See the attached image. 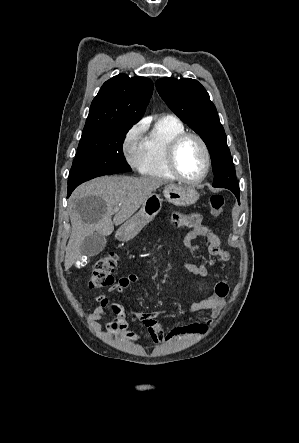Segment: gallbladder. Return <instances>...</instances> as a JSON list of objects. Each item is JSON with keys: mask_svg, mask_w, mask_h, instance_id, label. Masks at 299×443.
<instances>
[{"mask_svg": "<svg viewBox=\"0 0 299 443\" xmlns=\"http://www.w3.org/2000/svg\"><path fill=\"white\" fill-rule=\"evenodd\" d=\"M107 243L106 237L98 232L86 237L80 246L82 254L86 258L98 255L105 248Z\"/></svg>", "mask_w": 299, "mask_h": 443, "instance_id": "gallbladder-1", "label": "gallbladder"}]
</instances>
